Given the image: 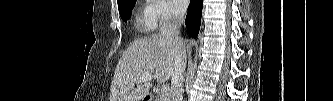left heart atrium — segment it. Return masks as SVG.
<instances>
[{"label":"left heart atrium","mask_w":333,"mask_h":101,"mask_svg":"<svg viewBox=\"0 0 333 101\" xmlns=\"http://www.w3.org/2000/svg\"><path fill=\"white\" fill-rule=\"evenodd\" d=\"M172 3L179 11H184L188 4L186 0H173Z\"/></svg>","instance_id":"left-heart-atrium-1"}]
</instances>
